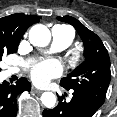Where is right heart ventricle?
I'll return each mask as SVG.
<instances>
[{"label": "right heart ventricle", "mask_w": 117, "mask_h": 117, "mask_svg": "<svg viewBox=\"0 0 117 117\" xmlns=\"http://www.w3.org/2000/svg\"><path fill=\"white\" fill-rule=\"evenodd\" d=\"M60 27H62V28H67V27H65V26H60Z\"/></svg>", "instance_id": "obj_1"}]
</instances>
